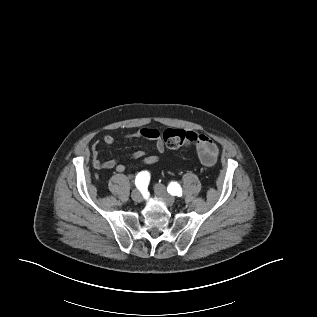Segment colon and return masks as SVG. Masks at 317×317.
<instances>
[{
    "instance_id": "5ec220e1",
    "label": "colon",
    "mask_w": 317,
    "mask_h": 317,
    "mask_svg": "<svg viewBox=\"0 0 317 317\" xmlns=\"http://www.w3.org/2000/svg\"><path fill=\"white\" fill-rule=\"evenodd\" d=\"M160 136L166 147L170 150H176L190 145L191 143H195L198 137L195 132L175 128L164 130Z\"/></svg>"
}]
</instances>
